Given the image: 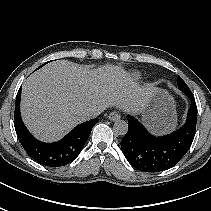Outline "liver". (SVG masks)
Instances as JSON below:
<instances>
[{
    "mask_svg": "<svg viewBox=\"0 0 211 211\" xmlns=\"http://www.w3.org/2000/svg\"><path fill=\"white\" fill-rule=\"evenodd\" d=\"M155 87L140 86L121 67L105 65L91 70L68 60L51 62L22 85L21 114L32 134L56 141L88 120L92 108L115 106L139 114Z\"/></svg>",
    "mask_w": 211,
    "mask_h": 211,
    "instance_id": "6515ba94",
    "label": "liver"
}]
</instances>
